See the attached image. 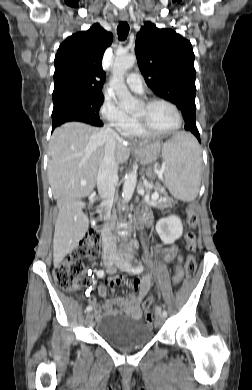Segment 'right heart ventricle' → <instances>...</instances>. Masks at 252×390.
Here are the masks:
<instances>
[{"instance_id":"e07e8e85","label":"right heart ventricle","mask_w":252,"mask_h":390,"mask_svg":"<svg viewBox=\"0 0 252 390\" xmlns=\"http://www.w3.org/2000/svg\"><path fill=\"white\" fill-rule=\"evenodd\" d=\"M130 136L131 137H136V138H141V139H146V138H149L150 136L145 134L144 132H142L138 126H137V123L136 121L134 120V128L132 130V132L130 133Z\"/></svg>"}]
</instances>
